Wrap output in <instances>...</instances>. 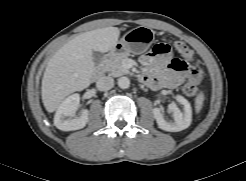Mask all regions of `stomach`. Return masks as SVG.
<instances>
[{
    "label": "stomach",
    "mask_w": 246,
    "mask_h": 181,
    "mask_svg": "<svg viewBox=\"0 0 246 181\" xmlns=\"http://www.w3.org/2000/svg\"><path fill=\"white\" fill-rule=\"evenodd\" d=\"M154 41V32L147 27H137L127 32L110 51V57L124 53L142 54Z\"/></svg>",
    "instance_id": "1"
}]
</instances>
